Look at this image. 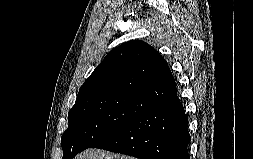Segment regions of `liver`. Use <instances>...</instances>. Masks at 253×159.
Here are the masks:
<instances>
[{
	"label": "liver",
	"mask_w": 253,
	"mask_h": 159,
	"mask_svg": "<svg viewBox=\"0 0 253 159\" xmlns=\"http://www.w3.org/2000/svg\"><path fill=\"white\" fill-rule=\"evenodd\" d=\"M75 159H136L130 156L114 154L100 149H87L76 156Z\"/></svg>",
	"instance_id": "obj_1"
}]
</instances>
